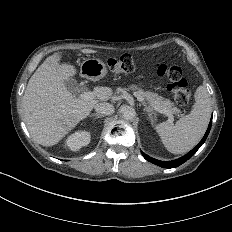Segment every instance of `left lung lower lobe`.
<instances>
[{
    "label": "left lung lower lobe",
    "instance_id": "left-lung-lower-lobe-1",
    "mask_svg": "<svg viewBox=\"0 0 232 232\" xmlns=\"http://www.w3.org/2000/svg\"><path fill=\"white\" fill-rule=\"evenodd\" d=\"M211 125H212V119H211V121L209 123L208 129H207L204 137L199 142V144L195 148H193L190 152H188L186 155H184V156H182V157H180L178 159L171 160V161H160V160L149 157L145 153H142V155L147 161H149V162H151L153 164H156V165H158L160 167L168 168V169L178 167L181 164H183L184 162H186L187 160H189L198 151V149L201 147V145L205 142V140H206V138H207V136H208V134L210 132Z\"/></svg>",
    "mask_w": 232,
    "mask_h": 232
}]
</instances>
